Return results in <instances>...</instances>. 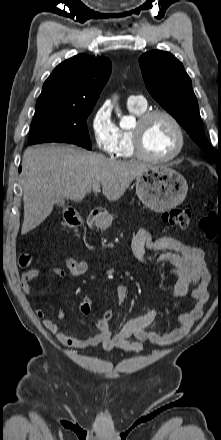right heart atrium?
I'll use <instances>...</instances> for the list:
<instances>
[{
	"label": "right heart atrium",
	"instance_id": "obj_1",
	"mask_svg": "<svg viewBox=\"0 0 221 440\" xmlns=\"http://www.w3.org/2000/svg\"><path fill=\"white\" fill-rule=\"evenodd\" d=\"M90 128L96 147L103 153L114 155L120 142L119 128L107 106H100L92 115Z\"/></svg>",
	"mask_w": 221,
	"mask_h": 440
}]
</instances>
